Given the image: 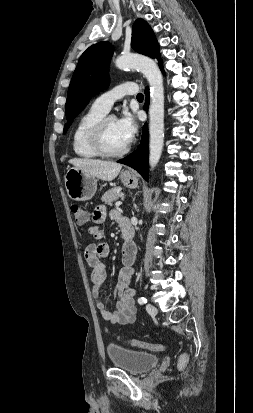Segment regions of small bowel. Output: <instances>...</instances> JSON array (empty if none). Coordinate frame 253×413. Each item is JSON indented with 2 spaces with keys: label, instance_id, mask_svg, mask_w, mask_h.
<instances>
[{
  "label": "small bowel",
  "instance_id": "obj_1",
  "mask_svg": "<svg viewBox=\"0 0 253 413\" xmlns=\"http://www.w3.org/2000/svg\"><path fill=\"white\" fill-rule=\"evenodd\" d=\"M107 209L104 205H99L95 208L92 214V226L89 228V233L96 239L95 243L89 244L85 249V259L92 269V294L96 302V306L102 318L111 324H129L132 323L137 314L134 296L135 291L130 287L131 280L134 274L133 264L136 256V249L133 244H124L122 249V263L118 280L115 285L110 301L116 299V310L110 311L108 303L102 299L100 288L106 280V267L102 262L103 258L109 255V245L103 240V232L99 225L106 219ZM121 226L124 218L113 214Z\"/></svg>",
  "mask_w": 253,
  "mask_h": 413
}]
</instances>
